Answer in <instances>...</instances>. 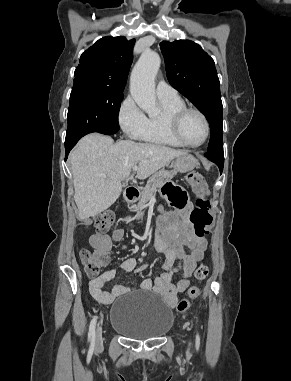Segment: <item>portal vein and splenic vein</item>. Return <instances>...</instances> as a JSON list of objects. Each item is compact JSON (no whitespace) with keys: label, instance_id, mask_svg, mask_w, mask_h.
I'll return each instance as SVG.
<instances>
[{"label":"portal vein and splenic vein","instance_id":"1","mask_svg":"<svg viewBox=\"0 0 291 381\" xmlns=\"http://www.w3.org/2000/svg\"><path fill=\"white\" fill-rule=\"evenodd\" d=\"M132 169H133L134 172H136L138 170L137 165H135Z\"/></svg>","mask_w":291,"mask_h":381}]
</instances>
